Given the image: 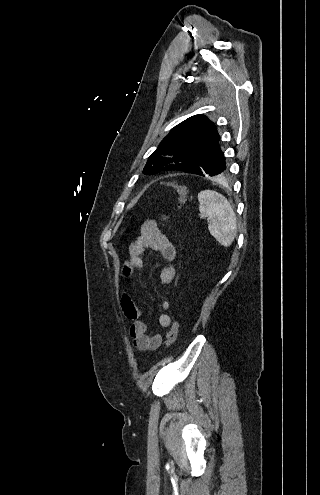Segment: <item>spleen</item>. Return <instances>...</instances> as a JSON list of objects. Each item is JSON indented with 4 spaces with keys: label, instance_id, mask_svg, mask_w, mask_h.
<instances>
[{
    "label": "spleen",
    "instance_id": "spleen-1",
    "mask_svg": "<svg viewBox=\"0 0 320 495\" xmlns=\"http://www.w3.org/2000/svg\"><path fill=\"white\" fill-rule=\"evenodd\" d=\"M198 201L199 216L208 219L210 234L220 245L229 247L237 234L236 216L229 201L213 190L201 191Z\"/></svg>",
    "mask_w": 320,
    "mask_h": 495
}]
</instances>
